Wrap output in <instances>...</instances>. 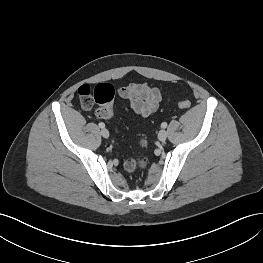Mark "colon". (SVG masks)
Segmentation results:
<instances>
[{
	"label": "colon",
	"instance_id": "obj_1",
	"mask_svg": "<svg viewBox=\"0 0 263 263\" xmlns=\"http://www.w3.org/2000/svg\"><path fill=\"white\" fill-rule=\"evenodd\" d=\"M78 99L80 104L84 108H91L95 104L99 107L96 110L97 115L103 119H109L113 115V109L110 105L115 91L110 84H99L95 88L90 85L83 84L78 88ZM179 107L182 109H187L190 107L191 103L189 100H181L178 103ZM141 145L146 146V139H141ZM149 164V157L146 155H138L136 157L128 158L124 162V169L128 173H135L140 170L145 169Z\"/></svg>",
	"mask_w": 263,
	"mask_h": 263
}]
</instances>
